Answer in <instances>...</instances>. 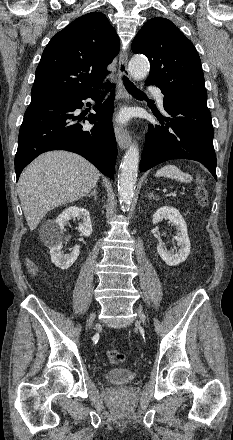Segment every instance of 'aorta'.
Wrapping results in <instances>:
<instances>
[{
	"label": "aorta",
	"instance_id": "obj_1",
	"mask_svg": "<svg viewBox=\"0 0 233 440\" xmlns=\"http://www.w3.org/2000/svg\"><path fill=\"white\" fill-rule=\"evenodd\" d=\"M128 69L134 80H142L149 74L150 66L145 56L136 55L130 60ZM139 157V148L136 143H132L125 153L120 165L118 194L120 203L124 208L130 206L134 196Z\"/></svg>",
	"mask_w": 233,
	"mask_h": 440
}]
</instances>
